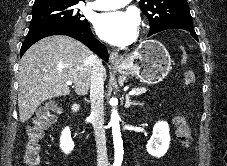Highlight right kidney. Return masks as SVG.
I'll use <instances>...</instances> for the list:
<instances>
[{
  "mask_svg": "<svg viewBox=\"0 0 227 166\" xmlns=\"http://www.w3.org/2000/svg\"><path fill=\"white\" fill-rule=\"evenodd\" d=\"M60 147L65 154H69L74 148V142L71 138L69 127H66L61 133Z\"/></svg>",
  "mask_w": 227,
  "mask_h": 166,
  "instance_id": "ca27d5eb",
  "label": "right kidney"
}]
</instances>
